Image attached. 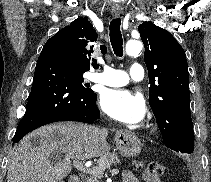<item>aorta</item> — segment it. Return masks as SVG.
<instances>
[{"label": "aorta", "instance_id": "762f6f07", "mask_svg": "<svg viewBox=\"0 0 211 182\" xmlns=\"http://www.w3.org/2000/svg\"><path fill=\"white\" fill-rule=\"evenodd\" d=\"M142 48H143V44H142L141 41H139V40H129L126 43L125 50H126V53L129 56H136L142 51Z\"/></svg>", "mask_w": 211, "mask_h": 182}]
</instances>
